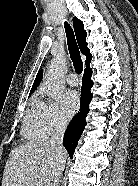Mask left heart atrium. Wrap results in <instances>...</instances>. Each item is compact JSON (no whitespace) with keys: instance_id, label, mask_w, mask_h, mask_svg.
<instances>
[{"instance_id":"left-heart-atrium-1","label":"left heart atrium","mask_w":138,"mask_h":186,"mask_svg":"<svg viewBox=\"0 0 138 186\" xmlns=\"http://www.w3.org/2000/svg\"><path fill=\"white\" fill-rule=\"evenodd\" d=\"M79 107L78 96L74 90H65L61 95V114L64 118H71Z\"/></svg>"}]
</instances>
